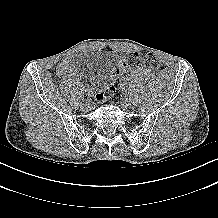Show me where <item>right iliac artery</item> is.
<instances>
[{
    "instance_id": "obj_1",
    "label": "right iliac artery",
    "mask_w": 218,
    "mask_h": 218,
    "mask_svg": "<svg viewBox=\"0 0 218 218\" xmlns=\"http://www.w3.org/2000/svg\"><path fill=\"white\" fill-rule=\"evenodd\" d=\"M86 95H90L91 97L94 95L90 90H85Z\"/></svg>"
}]
</instances>
